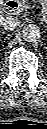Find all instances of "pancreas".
<instances>
[{"label":"pancreas","mask_w":47,"mask_h":129,"mask_svg":"<svg viewBox=\"0 0 47 129\" xmlns=\"http://www.w3.org/2000/svg\"><path fill=\"white\" fill-rule=\"evenodd\" d=\"M19 1H20L21 4H23V7H24V8H27V3H25L24 0H19Z\"/></svg>","instance_id":"obj_1"}]
</instances>
